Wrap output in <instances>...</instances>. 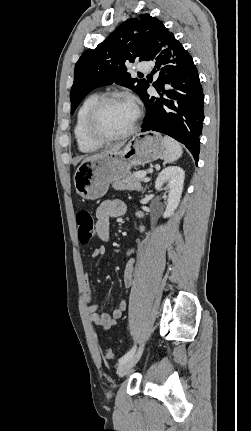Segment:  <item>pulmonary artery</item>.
Here are the masks:
<instances>
[{"instance_id": "e3ab8cb5", "label": "pulmonary artery", "mask_w": 251, "mask_h": 431, "mask_svg": "<svg viewBox=\"0 0 251 431\" xmlns=\"http://www.w3.org/2000/svg\"><path fill=\"white\" fill-rule=\"evenodd\" d=\"M151 69V65L147 62H141L137 65V70L140 72H149Z\"/></svg>"}]
</instances>
